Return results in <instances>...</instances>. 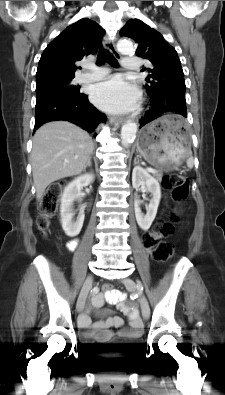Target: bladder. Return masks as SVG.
<instances>
[{
    "label": "bladder",
    "instance_id": "1",
    "mask_svg": "<svg viewBox=\"0 0 225 395\" xmlns=\"http://www.w3.org/2000/svg\"><path fill=\"white\" fill-rule=\"evenodd\" d=\"M142 346V341L140 338L133 339L131 341L125 342L122 347L126 353L137 352Z\"/></svg>",
    "mask_w": 225,
    "mask_h": 395
}]
</instances>
